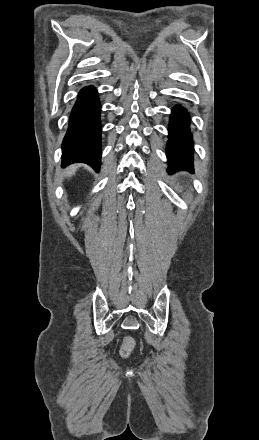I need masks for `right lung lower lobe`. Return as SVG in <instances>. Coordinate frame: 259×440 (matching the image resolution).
I'll return each instance as SVG.
<instances>
[{
	"instance_id": "98d812e1",
	"label": "right lung lower lobe",
	"mask_w": 259,
	"mask_h": 440,
	"mask_svg": "<svg viewBox=\"0 0 259 440\" xmlns=\"http://www.w3.org/2000/svg\"><path fill=\"white\" fill-rule=\"evenodd\" d=\"M76 162L87 163L97 172L100 169V102L91 86L79 92L62 143V167Z\"/></svg>"
}]
</instances>
